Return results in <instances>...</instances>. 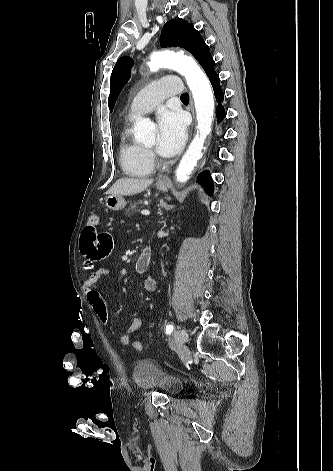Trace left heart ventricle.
Returning <instances> with one entry per match:
<instances>
[{"label": "left heart ventricle", "mask_w": 333, "mask_h": 471, "mask_svg": "<svg viewBox=\"0 0 333 471\" xmlns=\"http://www.w3.org/2000/svg\"><path fill=\"white\" fill-rule=\"evenodd\" d=\"M156 145V138H153L150 143H148L149 147H154Z\"/></svg>", "instance_id": "1"}]
</instances>
